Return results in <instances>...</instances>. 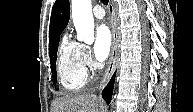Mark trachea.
Wrapping results in <instances>:
<instances>
[{
	"label": "trachea",
	"instance_id": "1",
	"mask_svg": "<svg viewBox=\"0 0 193 112\" xmlns=\"http://www.w3.org/2000/svg\"><path fill=\"white\" fill-rule=\"evenodd\" d=\"M104 5L108 4V0H101Z\"/></svg>",
	"mask_w": 193,
	"mask_h": 112
}]
</instances>
